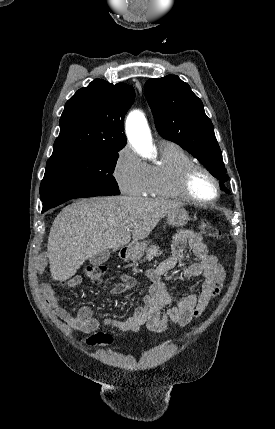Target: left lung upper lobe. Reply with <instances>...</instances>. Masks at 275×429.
Masks as SVG:
<instances>
[{
  "mask_svg": "<svg viewBox=\"0 0 275 429\" xmlns=\"http://www.w3.org/2000/svg\"><path fill=\"white\" fill-rule=\"evenodd\" d=\"M145 96L153 111L159 134L197 158L220 180L221 188L229 193L223 185L229 176L213 124L204 112L202 101L191 91L190 86L176 75L152 78L145 84Z\"/></svg>",
  "mask_w": 275,
  "mask_h": 429,
  "instance_id": "5c2ea615",
  "label": "left lung upper lobe"
}]
</instances>
